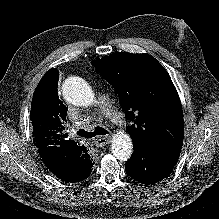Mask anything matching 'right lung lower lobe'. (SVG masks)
<instances>
[{
  "label": "right lung lower lobe",
  "mask_w": 219,
  "mask_h": 219,
  "mask_svg": "<svg viewBox=\"0 0 219 219\" xmlns=\"http://www.w3.org/2000/svg\"><path fill=\"white\" fill-rule=\"evenodd\" d=\"M68 158H71L72 161H73V159H76L75 162H78V161L85 162L84 158L79 156L76 152L70 153ZM85 167H86V169H83L84 173L77 179L76 182L82 181V180L86 179L90 175V173L92 171L91 170L92 165H91V167H89V166H85Z\"/></svg>",
  "instance_id": "obj_1"
}]
</instances>
